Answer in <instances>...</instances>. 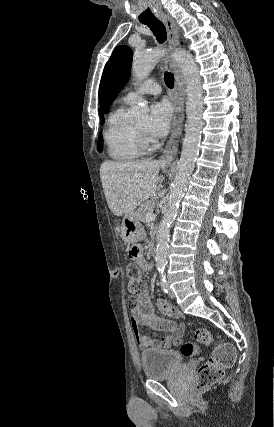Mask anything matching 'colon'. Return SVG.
<instances>
[{
    "label": "colon",
    "mask_w": 274,
    "mask_h": 427,
    "mask_svg": "<svg viewBox=\"0 0 274 427\" xmlns=\"http://www.w3.org/2000/svg\"><path fill=\"white\" fill-rule=\"evenodd\" d=\"M143 255V250L139 244L131 245V258L139 259ZM128 290L132 297L139 294L144 288L140 270L137 266L129 265L127 267ZM197 344L210 345L214 342L212 333L205 328H198L194 334ZM197 344L193 342H181V354L184 358H190L196 355ZM237 358L235 347L224 340L214 342L212 356L206 362L200 365L196 375V387L201 390L209 389L212 385L220 383L224 378L226 370L231 368Z\"/></svg>",
    "instance_id": "obj_1"
}]
</instances>
